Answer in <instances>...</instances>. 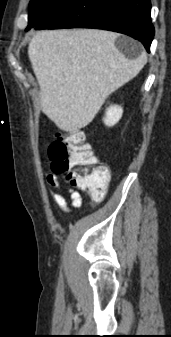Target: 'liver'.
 <instances>
[{
  "instance_id": "6515ba94",
  "label": "liver",
  "mask_w": 171,
  "mask_h": 337,
  "mask_svg": "<svg viewBox=\"0 0 171 337\" xmlns=\"http://www.w3.org/2000/svg\"><path fill=\"white\" fill-rule=\"evenodd\" d=\"M117 33L94 30H45L28 47L40 86L42 111L63 131L84 128L106 98L133 79L147 55L127 59L115 46Z\"/></svg>"
}]
</instances>
